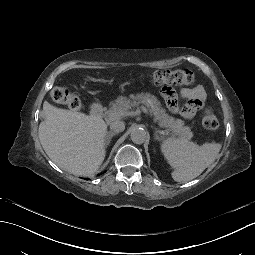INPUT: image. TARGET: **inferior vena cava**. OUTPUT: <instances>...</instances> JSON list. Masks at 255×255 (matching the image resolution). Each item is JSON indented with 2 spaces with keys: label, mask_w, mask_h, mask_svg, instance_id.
I'll list each match as a JSON object with an SVG mask.
<instances>
[{
  "label": "inferior vena cava",
  "mask_w": 255,
  "mask_h": 255,
  "mask_svg": "<svg viewBox=\"0 0 255 255\" xmlns=\"http://www.w3.org/2000/svg\"><path fill=\"white\" fill-rule=\"evenodd\" d=\"M110 128L113 132L119 133V132L124 131L125 124H124V122L117 120V121H114L111 123Z\"/></svg>",
  "instance_id": "obj_1"
}]
</instances>
